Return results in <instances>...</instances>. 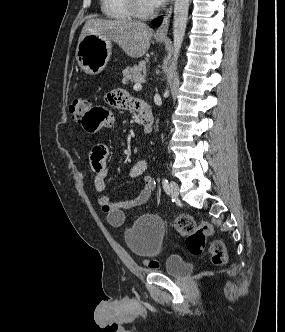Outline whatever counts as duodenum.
<instances>
[{
  "label": "duodenum",
  "instance_id": "410a0bca",
  "mask_svg": "<svg viewBox=\"0 0 285 332\" xmlns=\"http://www.w3.org/2000/svg\"><path fill=\"white\" fill-rule=\"evenodd\" d=\"M140 113V122L146 133H150L153 129L154 118L149 106L144 102L138 103Z\"/></svg>",
  "mask_w": 285,
  "mask_h": 332
}]
</instances>
